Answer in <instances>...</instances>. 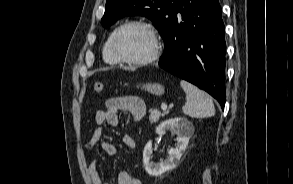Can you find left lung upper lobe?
Returning a JSON list of instances; mask_svg holds the SVG:
<instances>
[{"label":"left lung upper lobe","instance_id":"1","mask_svg":"<svg viewBox=\"0 0 293 184\" xmlns=\"http://www.w3.org/2000/svg\"><path fill=\"white\" fill-rule=\"evenodd\" d=\"M178 0H107L101 24L109 28L125 16L142 15L154 22L163 40L169 29L173 9Z\"/></svg>","mask_w":293,"mask_h":184}]
</instances>
